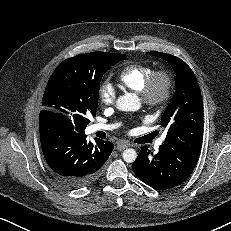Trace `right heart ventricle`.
<instances>
[{"instance_id":"e07e8e85","label":"right heart ventricle","mask_w":231,"mask_h":231,"mask_svg":"<svg viewBox=\"0 0 231 231\" xmlns=\"http://www.w3.org/2000/svg\"><path fill=\"white\" fill-rule=\"evenodd\" d=\"M153 72L150 65L133 63L124 67L117 75L118 83L129 90L139 93Z\"/></svg>"}]
</instances>
